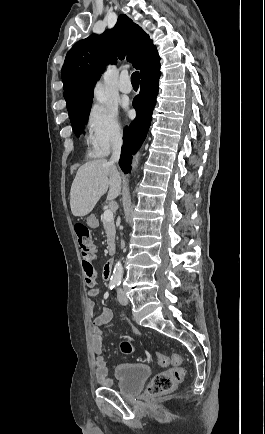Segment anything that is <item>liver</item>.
Wrapping results in <instances>:
<instances>
[{
	"label": "liver",
	"mask_w": 265,
	"mask_h": 434,
	"mask_svg": "<svg viewBox=\"0 0 265 434\" xmlns=\"http://www.w3.org/2000/svg\"><path fill=\"white\" fill-rule=\"evenodd\" d=\"M107 190V200H115L121 192V178L114 164L107 160H92L80 166L70 192L73 216L90 214Z\"/></svg>",
	"instance_id": "6515ba94"
}]
</instances>
